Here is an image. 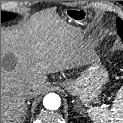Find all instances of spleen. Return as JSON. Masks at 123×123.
Listing matches in <instances>:
<instances>
[{
    "label": "spleen",
    "mask_w": 123,
    "mask_h": 123,
    "mask_svg": "<svg viewBox=\"0 0 123 123\" xmlns=\"http://www.w3.org/2000/svg\"><path fill=\"white\" fill-rule=\"evenodd\" d=\"M93 123H123V86L118 90L111 108L93 106L87 109Z\"/></svg>",
    "instance_id": "obj_1"
}]
</instances>
